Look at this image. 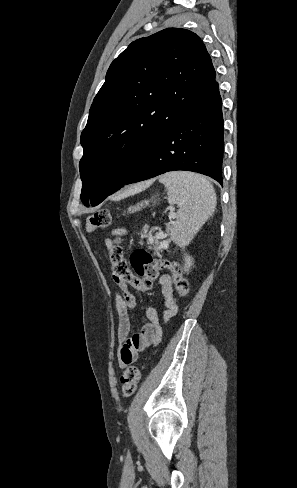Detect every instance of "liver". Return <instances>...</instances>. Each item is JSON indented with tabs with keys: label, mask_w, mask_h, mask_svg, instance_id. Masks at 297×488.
Listing matches in <instances>:
<instances>
[{
	"label": "liver",
	"mask_w": 297,
	"mask_h": 488,
	"mask_svg": "<svg viewBox=\"0 0 297 488\" xmlns=\"http://www.w3.org/2000/svg\"><path fill=\"white\" fill-rule=\"evenodd\" d=\"M150 184H151V182L142 183V184L137 185L134 189L135 190L144 189V188L148 187Z\"/></svg>",
	"instance_id": "1"
}]
</instances>
